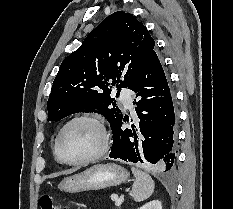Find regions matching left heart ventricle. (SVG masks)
<instances>
[{"instance_id": "1", "label": "left heart ventricle", "mask_w": 233, "mask_h": 209, "mask_svg": "<svg viewBox=\"0 0 233 209\" xmlns=\"http://www.w3.org/2000/svg\"><path fill=\"white\" fill-rule=\"evenodd\" d=\"M101 144L98 127L89 121H79L70 125L60 142V154L69 161L93 154Z\"/></svg>"}]
</instances>
